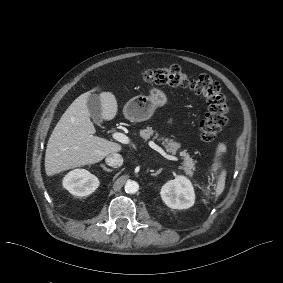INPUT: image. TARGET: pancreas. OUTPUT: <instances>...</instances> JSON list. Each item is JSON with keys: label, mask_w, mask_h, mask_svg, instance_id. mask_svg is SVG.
Here are the masks:
<instances>
[{"label": "pancreas", "mask_w": 283, "mask_h": 283, "mask_svg": "<svg viewBox=\"0 0 283 283\" xmlns=\"http://www.w3.org/2000/svg\"><path fill=\"white\" fill-rule=\"evenodd\" d=\"M154 135L153 139H157L158 141H163L162 144L166 148L167 152L172 153L173 155L176 154L177 150L181 147V144L178 142H175L173 139L169 138H158V133L152 129V127H146L145 129L140 130V136L147 141L150 139L151 136ZM180 156L182 157L183 161V167L182 169L185 171V173L189 176L193 175V170L195 169V161L190 157V155L186 152V150H183L180 152Z\"/></svg>", "instance_id": "1"}]
</instances>
